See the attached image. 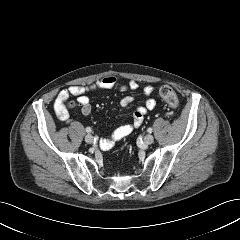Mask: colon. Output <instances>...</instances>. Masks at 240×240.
<instances>
[{"label":"colon","instance_id":"1","mask_svg":"<svg viewBox=\"0 0 240 240\" xmlns=\"http://www.w3.org/2000/svg\"><path fill=\"white\" fill-rule=\"evenodd\" d=\"M160 96L161 98L172 108H176L178 106V97L173 88H171L168 85L162 86L160 89ZM66 106H72L71 102L64 103L63 102V107L65 108Z\"/></svg>","mask_w":240,"mask_h":240}]
</instances>
